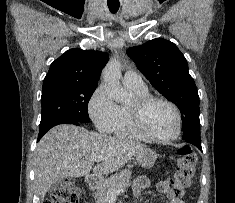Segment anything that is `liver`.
Masks as SVG:
<instances>
[{"mask_svg": "<svg viewBox=\"0 0 235 203\" xmlns=\"http://www.w3.org/2000/svg\"><path fill=\"white\" fill-rule=\"evenodd\" d=\"M146 145L131 139L62 124L49 130L37 144L34 159L35 185L41 199L49 188L65 178L101 177L122 168ZM101 163L93 167L95 159Z\"/></svg>", "mask_w": 235, "mask_h": 203, "instance_id": "6515ba94", "label": "liver"}]
</instances>
